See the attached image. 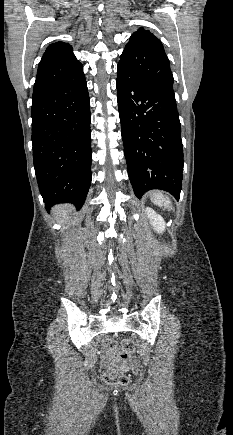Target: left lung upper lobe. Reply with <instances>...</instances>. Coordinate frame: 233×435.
<instances>
[{
  "instance_id": "5c2ea615",
  "label": "left lung upper lobe",
  "mask_w": 233,
  "mask_h": 435,
  "mask_svg": "<svg viewBox=\"0 0 233 435\" xmlns=\"http://www.w3.org/2000/svg\"><path fill=\"white\" fill-rule=\"evenodd\" d=\"M118 65L153 86L173 91L174 78L163 45L143 27L130 37Z\"/></svg>"
}]
</instances>
